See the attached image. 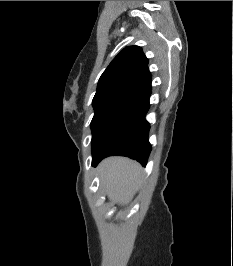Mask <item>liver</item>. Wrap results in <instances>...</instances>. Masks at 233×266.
Wrapping results in <instances>:
<instances>
[{
  "instance_id": "liver-1",
  "label": "liver",
  "mask_w": 233,
  "mask_h": 266,
  "mask_svg": "<svg viewBox=\"0 0 233 266\" xmlns=\"http://www.w3.org/2000/svg\"><path fill=\"white\" fill-rule=\"evenodd\" d=\"M98 169L108 198L120 206L127 205L142 182L141 166L128 158L109 157Z\"/></svg>"
}]
</instances>
